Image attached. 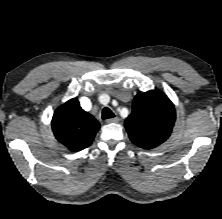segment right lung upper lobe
Returning a JSON list of instances; mask_svg holds the SVG:
<instances>
[{"mask_svg": "<svg viewBox=\"0 0 222 219\" xmlns=\"http://www.w3.org/2000/svg\"><path fill=\"white\" fill-rule=\"evenodd\" d=\"M51 125L56 139L71 151L88 147L100 129L99 122L80 107L76 98L56 109Z\"/></svg>", "mask_w": 222, "mask_h": 219, "instance_id": "cb5924a9", "label": "right lung upper lobe"}]
</instances>
